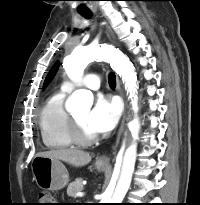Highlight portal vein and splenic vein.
<instances>
[{
    "label": "portal vein and splenic vein",
    "mask_w": 200,
    "mask_h": 205,
    "mask_svg": "<svg viewBox=\"0 0 200 205\" xmlns=\"http://www.w3.org/2000/svg\"><path fill=\"white\" fill-rule=\"evenodd\" d=\"M75 196H76V197H83V196H84V193H83V192H77Z\"/></svg>",
    "instance_id": "obj_1"
}]
</instances>
